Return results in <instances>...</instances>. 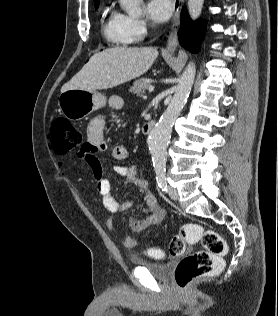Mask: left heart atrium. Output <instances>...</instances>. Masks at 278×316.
Here are the masks:
<instances>
[{
    "label": "left heart atrium",
    "mask_w": 278,
    "mask_h": 316,
    "mask_svg": "<svg viewBox=\"0 0 278 316\" xmlns=\"http://www.w3.org/2000/svg\"><path fill=\"white\" fill-rule=\"evenodd\" d=\"M172 13L171 0H149L146 5V14L154 22L166 21Z\"/></svg>",
    "instance_id": "left-heart-atrium-1"
}]
</instances>
